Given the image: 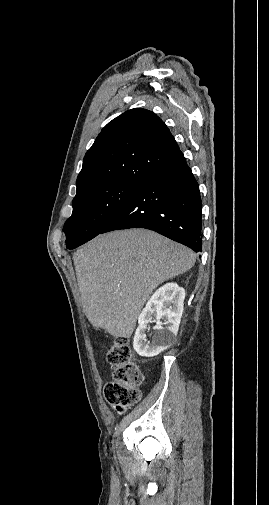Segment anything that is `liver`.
<instances>
[{
    "instance_id": "liver-1",
    "label": "liver",
    "mask_w": 269,
    "mask_h": 505,
    "mask_svg": "<svg viewBox=\"0 0 269 505\" xmlns=\"http://www.w3.org/2000/svg\"><path fill=\"white\" fill-rule=\"evenodd\" d=\"M73 261L89 322L129 338L153 290L192 268L196 254L153 231L130 229L97 236Z\"/></svg>"
}]
</instances>
